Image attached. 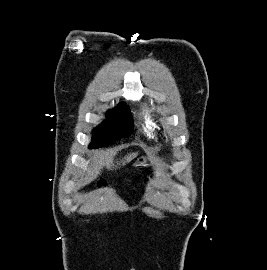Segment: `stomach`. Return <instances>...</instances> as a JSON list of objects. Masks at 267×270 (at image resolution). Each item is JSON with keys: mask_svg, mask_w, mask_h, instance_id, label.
Masks as SVG:
<instances>
[{"mask_svg": "<svg viewBox=\"0 0 267 270\" xmlns=\"http://www.w3.org/2000/svg\"><path fill=\"white\" fill-rule=\"evenodd\" d=\"M135 166L145 167L147 166V159L145 157H140L134 164Z\"/></svg>", "mask_w": 267, "mask_h": 270, "instance_id": "obj_1", "label": "stomach"}]
</instances>
